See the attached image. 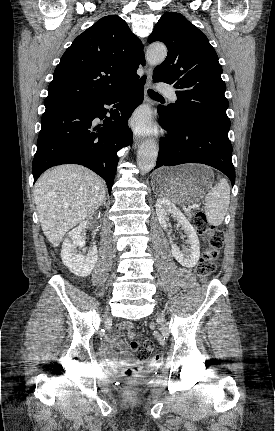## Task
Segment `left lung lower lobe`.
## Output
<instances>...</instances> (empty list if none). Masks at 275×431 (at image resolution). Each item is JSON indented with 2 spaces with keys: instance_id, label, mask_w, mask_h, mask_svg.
Returning <instances> with one entry per match:
<instances>
[{
  "instance_id": "1",
  "label": "left lung lower lobe",
  "mask_w": 275,
  "mask_h": 431,
  "mask_svg": "<svg viewBox=\"0 0 275 431\" xmlns=\"http://www.w3.org/2000/svg\"><path fill=\"white\" fill-rule=\"evenodd\" d=\"M160 123L169 132L167 142L161 141L155 169L184 163H202L223 172L235 183L232 163V145L228 138L229 127L207 122L179 119L170 116L158 106Z\"/></svg>"
}]
</instances>
